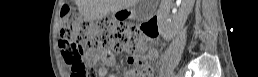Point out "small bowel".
<instances>
[{
    "label": "small bowel",
    "mask_w": 258,
    "mask_h": 77,
    "mask_svg": "<svg viewBox=\"0 0 258 77\" xmlns=\"http://www.w3.org/2000/svg\"><path fill=\"white\" fill-rule=\"evenodd\" d=\"M158 57V51L154 48L150 49L147 55V59L149 62H154L156 61ZM100 59L103 60V64L100 65L99 67V73H106V69L109 66H114L116 64V56L113 53H105V54H100L98 52H88L87 54V60L89 63H97ZM152 74L151 68L147 67V69L145 70L144 73L140 74V72L133 76V77H139V76H143V77H147L150 76ZM130 77V76H128Z\"/></svg>",
    "instance_id": "obj_1"
}]
</instances>
